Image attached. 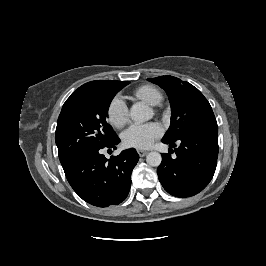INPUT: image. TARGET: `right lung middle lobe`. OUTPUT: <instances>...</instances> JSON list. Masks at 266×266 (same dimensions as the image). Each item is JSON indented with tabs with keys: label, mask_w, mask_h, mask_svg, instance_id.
Instances as JSON below:
<instances>
[{
	"label": "right lung middle lobe",
	"mask_w": 266,
	"mask_h": 266,
	"mask_svg": "<svg viewBox=\"0 0 266 266\" xmlns=\"http://www.w3.org/2000/svg\"><path fill=\"white\" fill-rule=\"evenodd\" d=\"M128 84L129 81L103 80L66 100L55 132L62 166L82 154L106 146L117 137L106 117L112 99Z\"/></svg>",
	"instance_id": "obj_1"
}]
</instances>
